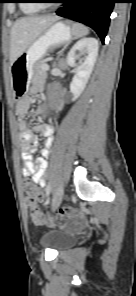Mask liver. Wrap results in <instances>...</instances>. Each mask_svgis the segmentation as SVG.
<instances>
[{"label": "liver", "instance_id": "6515ba94", "mask_svg": "<svg viewBox=\"0 0 136 296\" xmlns=\"http://www.w3.org/2000/svg\"><path fill=\"white\" fill-rule=\"evenodd\" d=\"M56 16L22 17L14 23L10 33V62L17 58L54 22Z\"/></svg>", "mask_w": 136, "mask_h": 296}]
</instances>
